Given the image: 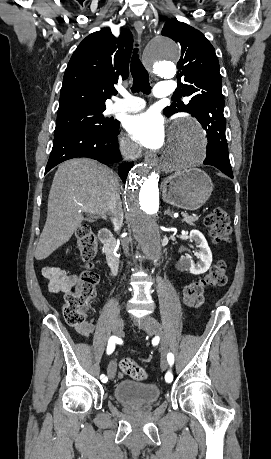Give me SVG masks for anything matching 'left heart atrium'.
Masks as SVG:
<instances>
[{
    "mask_svg": "<svg viewBox=\"0 0 271 459\" xmlns=\"http://www.w3.org/2000/svg\"><path fill=\"white\" fill-rule=\"evenodd\" d=\"M127 131L135 144L151 149L161 148L167 137L164 119L150 111L131 117Z\"/></svg>",
    "mask_w": 271,
    "mask_h": 459,
    "instance_id": "39dd6f15",
    "label": "left heart atrium"
}]
</instances>
